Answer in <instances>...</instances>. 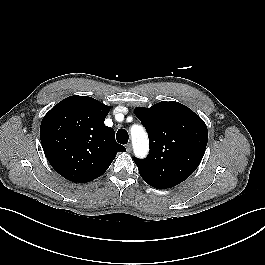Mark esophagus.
I'll return each mask as SVG.
<instances>
[{
    "label": "esophagus",
    "instance_id": "34e87169",
    "mask_svg": "<svg viewBox=\"0 0 265 265\" xmlns=\"http://www.w3.org/2000/svg\"><path fill=\"white\" fill-rule=\"evenodd\" d=\"M126 151L130 153L132 151V145L129 143L126 145Z\"/></svg>",
    "mask_w": 265,
    "mask_h": 265
}]
</instances>
